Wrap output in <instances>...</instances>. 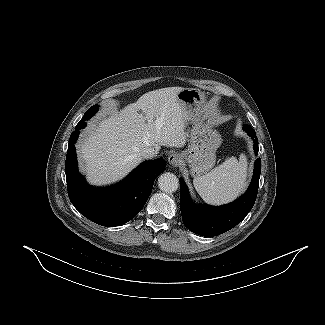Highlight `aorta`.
<instances>
[{
    "instance_id": "obj_1",
    "label": "aorta",
    "mask_w": 325,
    "mask_h": 325,
    "mask_svg": "<svg viewBox=\"0 0 325 325\" xmlns=\"http://www.w3.org/2000/svg\"><path fill=\"white\" fill-rule=\"evenodd\" d=\"M158 186L166 193L175 192L179 187V180L173 173H163L158 178Z\"/></svg>"
}]
</instances>
